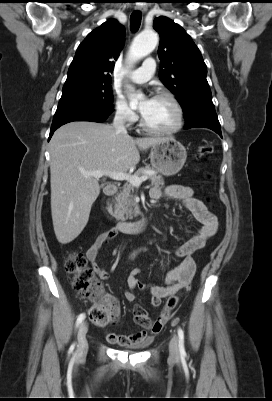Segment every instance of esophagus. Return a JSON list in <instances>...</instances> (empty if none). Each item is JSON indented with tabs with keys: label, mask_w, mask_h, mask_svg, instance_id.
Returning <instances> with one entry per match:
<instances>
[{
	"label": "esophagus",
	"mask_w": 272,
	"mask_h": 401,
	"mask_svg": "<svg viewBox=\"0 0 272 401\" xmlns=\"http://www.w3.org/2000/svg\"><path fill=\"white\" fill-rule=\"evenodd\" d=\"M136 9L137 10H140V11H142V12H145L147 9H146V7H144V6H136Z\"/></svg>",
	"instance_id": "34e87169"
}]
</instances>
